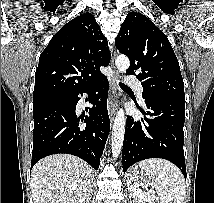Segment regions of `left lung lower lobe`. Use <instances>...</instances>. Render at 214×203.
Instances as JSON below:
<instances>
[{
  "label": "left lung lower lobe",
  "instance_id": "left-lung-lower-lobe-1",
  "mask_svg": "<svg viewBox=\"0 0 214 203\" xmlns=\"http://www.w3.org/2000/svg\"><path fill=\"white\" fill-rule=\"evenodd\" d=\"M149 116L134 120L127 117L122 163L123 171L148 158H162L174 163L186 178L184 159L185 102L151 98L145 99Z\"/></svg>",
  "mask_w": 214,
  "mask_h": 203
}]
</instances>
